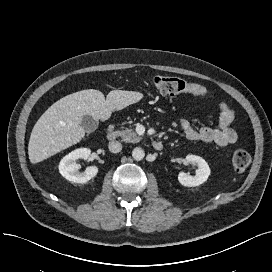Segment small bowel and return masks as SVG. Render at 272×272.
Instances as JSON below:
<instances>
[{
	"instance_id": "1",
	"label": "small bowel",
	"mask_w": 272,
	"mask_h": 272,
	"mask_svg": "<svg viewBox=\"0 0 272 272\" xmlns=\"http://www.w3.org/2000/svg\"><path fill=\"white\" fill-rule=\"evenodd\" d=\"M219 109L220 115L217 127L204 126L196 129L187 119H180L178 125L184 132L185 137L190 141H203L221 147L234 144L238 136L231 124L236 117V113L233 108L224 102L219 104Z\"/></svg>"
}]
</instances>
